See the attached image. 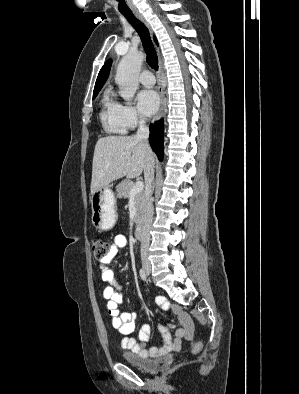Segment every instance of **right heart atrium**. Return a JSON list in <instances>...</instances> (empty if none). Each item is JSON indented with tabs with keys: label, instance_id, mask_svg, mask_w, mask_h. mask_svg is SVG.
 Returning a JSON list of instances; mask_svg holds the SVG:
<instances>
[{
	"label": "right heart atrium",
	"instance_id": "1",
	"mask_svg": "<svg viewBox=\"0 0 299 394\" xmlns=\"http://www.w3.org/2000/svg\"><path fill=\"white\" fill-rule=\"evenodd\" d=\"M120 113L126 130L134 129L143 122L135 107L128 102L120 105Z\"/></svg>",
	"mask_w": 299,
	"mask_h": 394
}]
</instances>
